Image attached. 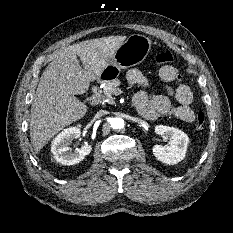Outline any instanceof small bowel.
<instances>
[{"instance_id": "c3829d8e", "label": "small bowel", "mask_w": 233, "mask_h": 233, "mask_svg": "<svg viewBox=\"0 0 233 233\" xmlns=\"http://www.w3.org/2000/svg\"><path fill=\"white\" fill-rule=\"evenodd\" d=\"M126 78L131 85L148 87L147 78L138 69L129 70ZM174 95L177 104H173L165 95L140 90L134 95V104L139 113L150 120L171 115L187 123L193 122L195 113L190 107L193 93L188 85L181 82V76L180 80L175 83Z\"/></svg>"}]
</instances>
